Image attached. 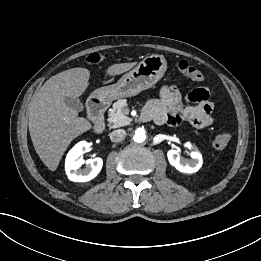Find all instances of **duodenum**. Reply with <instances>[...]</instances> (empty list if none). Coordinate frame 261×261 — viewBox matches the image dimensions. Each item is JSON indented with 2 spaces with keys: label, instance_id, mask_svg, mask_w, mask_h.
Instances as JSON below:
<instances>
[{
  "label": "duodenum",
  "instance_id": "obj_1",
  "mask_svg": "<svg viewBox=\"0 0 261 261\" xmlns=\"http://www.w3.org/2000/svg\"><path fill=\"white\" fill-rule=\"evenodd\" d=\"M109 106V101L104 96H96L88 103V114L93 121L94 131L102 133L105 129L104 113Z\"/></svg>",
  "mask_w": 261,
  "mask_h": 261
}]
</instances>
